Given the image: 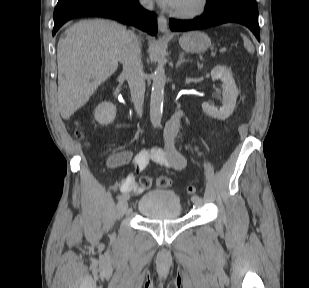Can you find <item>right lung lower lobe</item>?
I'll return each mask as SVG.
<instances>
[{"label": "right lung lower lobe", "instance_id": "98d812e1", "mask_svg": "<svg viewBox=\"0 0 309 288\" xmlns=\"http://www.w3.org/2000/svg\"><path fill=\"white\" fill-rule=\"evenodd\" d=\"M81 16L111 18L151 35L158 30L155 14L144 10L138 0H76L63 9L55 10L53 35L66 21Z\"/></svg>", "mask_w": 309, "mask_h": 288}]
</instances>
